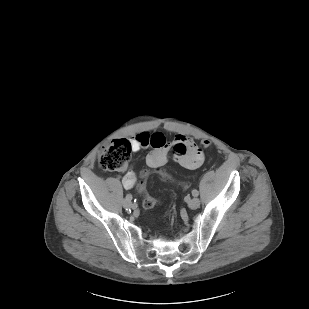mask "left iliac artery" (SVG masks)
Segmentation results:
<instances>
[{"mask_svg":"<svg viewBox=\"0 0 309 309\" xmlns=\"http://www.w3.org/2000/svg\"><path fill=\"white\" fill-rule=\"evenodd\" d=\"M192 195H193V196H198V195H199V192L195 189V190L192 191Z\"/></svg>","mask_w":309,"mask_h":309,"instance_id":"44dca946","label":"left iliac artery"}]
</instances>
